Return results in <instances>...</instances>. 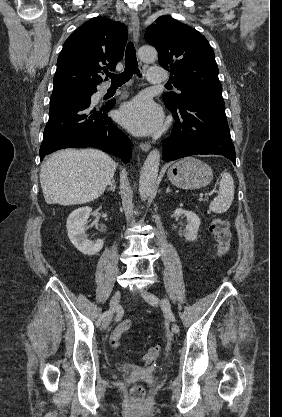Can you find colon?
<instances>
[{"label": "colon", "instance_id": "obj_1", "mask_svg": "<svg viewBox=\"0 0 282 417\" xmlns=\"http://www.w3.org/2000/svg\"><path fill=\"white\" fill-rule=\"evenodd\" d=\"M210 231L214 236L215 245L220 257L224 256L231 245V233L229 223L227 220L220 217H214L210 221ZM132 328V320H122L112 331L109 339V345L112 349H117L120 345V340ZM161 347L151 346L145 353V361L152 364L161 358ZM132 403H147L149 391L144 384H137L135 389L130 391Z\"/></svg>", "mask_w": 282, "mask_h": 417}]
</instances>
